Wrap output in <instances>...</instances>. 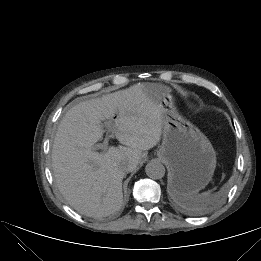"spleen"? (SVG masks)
<instances>
[{"label": "spleen", "mask_w": 261, "mask_h": 261, "mask_svg": "<svg viewBox=\"0 0 261 261\" xmlns=\"http://www.w3.org/2000/svg\"><path fill=\"white\" fill-rule=\"evenodd\" d=\"M210 195V192H204L201 194H183L178 195L176 199L183 205L190 209H198L203 200Z\"/></svg>", "instance_id": "1"}]
</instances>
